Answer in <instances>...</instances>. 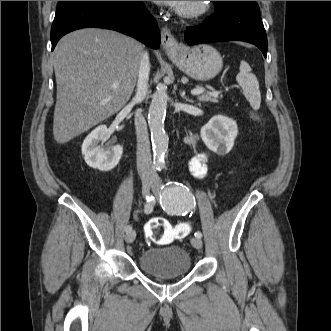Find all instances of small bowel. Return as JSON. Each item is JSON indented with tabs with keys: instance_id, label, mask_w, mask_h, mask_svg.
Here are the masks:
<instances>
[{
	"instance_id": "1",
	"label": "small bowel",
	"mask_w": 331,
	"mask_h": 331,
	"mask_svg": "<svg viewBox=\"0 0 331 331\" xmlns=\"http://www.w3.org/2000/svg\"><path fill=\"white\" fill-rule=\"evenodd\" d=\"M196 140L195 136H189L186 138L187 144H194ZM208 155L206 153H198L193 156L189 161V169L193 176L196 178H204L207 174L208 167Z\"/></svg>"
}]
</instances>
